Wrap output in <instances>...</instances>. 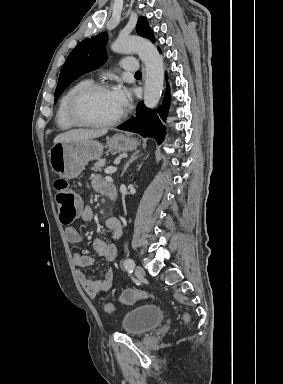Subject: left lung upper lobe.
Masks as SVG:
<instances>
[{
  "label": "left lung upper lobe",
  "mask_w": 283,
  "mask_h": 384,
  "mask_svg": "<svg viewBox=\"0 0 283 384\" xmlns=\"http://www.w3.org/2000/svg\"><path fill=\"white\" fill-rule=\"evenodd\" d=\"M136 30L138 35L148 38L153 42L155 41L153 32L145 17L139 18ZM107 41L108 35L106 32H103L83 40L71 51L60 72L58 85L55 90V101L71 82L84 73L102 65L106 58L104 47Z\"/></svg>",
  "instance_id": "left-lung-upper-lobe-1"
}]
</instances>
